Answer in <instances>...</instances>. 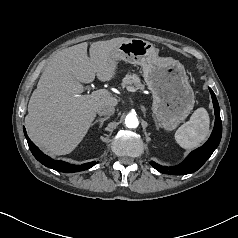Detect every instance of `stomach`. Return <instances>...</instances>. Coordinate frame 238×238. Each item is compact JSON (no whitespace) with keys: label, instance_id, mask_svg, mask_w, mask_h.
<instances>
[{"label":"stomach","instance_id":"stomach-1","mask_svg":"<svg viewBox=\"0 0 238 238\" xmlns=\"http://www.w3.org/2000/svg\"><path fill=\"white\" fill-rule=\"evenodd\" d=\"M113 59L140 65L143 78L153 95L152 111L159 126L175 129L191 113L194 92L184 66L173 58L159 57L155 46L143 39L131 38L114 51Z\"/></svg>","mask_w":238,"mask_h":238}]
</instances>
